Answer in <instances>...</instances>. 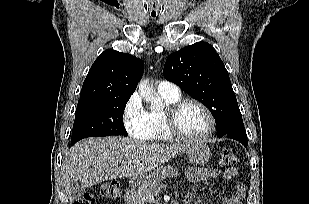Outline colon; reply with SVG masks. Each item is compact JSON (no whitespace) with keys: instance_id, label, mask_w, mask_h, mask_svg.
Masks as SVG:
<instances>
[{"instance_id":"1","label":"colon","mask_w":309,"mask_h":204,"mask_svg":"<svg viewBox=\"0 0 309 204\" xmlns=\"http://www.w3.org/2000/svg\"><path fill=\"white\" fill-rule=\"evenodd\" d=\"M220 165L222 167H232L238 163V158L233 149L226 148L221 152ZM101 195L106 199H116L120 195V187L116 182H106L101 187ZM73 204H94V198L90 194H85L75 200Z\"/></svg>"}]
</instances>
